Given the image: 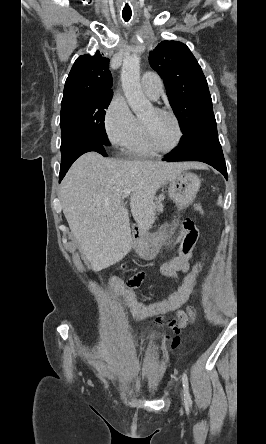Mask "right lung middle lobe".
Returning a JSON list of instances; mask_svg holds the SVG:
<instances>
[{"label":"right lung middle lobe","mask_w":266,"mask_h":444,"mask_svg":"<svg viewBox=\"0 0 266 444\" xmlns=\"http://www.w3.org/2000/svg\"><path fill=\"white\" fill-rule=\"evenodd\" d=\"M112 92L98 93L61 103V157L72 153L86 141H97L109 146L105 126V109Z\"/></svg>","instance_id":"right-lung-middle-lobe-1"}]
</instances>
